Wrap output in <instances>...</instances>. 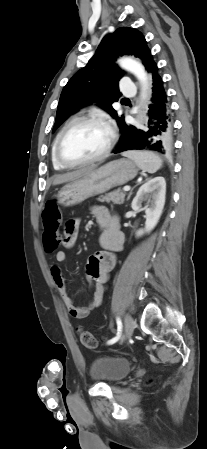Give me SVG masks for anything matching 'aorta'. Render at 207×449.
<instances>
[{
	"label": "aorta",
	"mask_w": 207,
	"mask_h": 449,
	"mask_svg": "<svg viewBox=\"0 0 207 449\" xmlns=\"http://www.w3.org/2000/svg\"><path fill=\"white\" fill-rule=\"evenodd\" d=\"M119 65L121 68L134 74L139 80L142 86L143 97L148 89V75L145 71L144 66L131 58H122L119 60Z\"/></svg>",
	"instance_id": "1"
}]
</instances>
